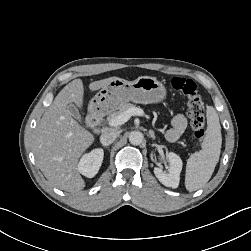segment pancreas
Segmentation results:
<instances>
[{
  "mask_svg": "<svg viewBox=\"0 0 251 251\" xmlns=\"http://www.w3.org/2000/svg\"><path fill=\"white\" fill-rule=\"evenodd\" d=\"M134 107H136V106L131 103H125V104L121 105L116 111L111 112L109 114V116L107 117V119L110 121L111 119L115 118L116 116L123 113L124 111H126L130 108H134Z\"/></svg>",
  "mask_w": 251,
  "mask_h": 251,
  "instance_id": "obj_1",
  "label": "pancreas"
}]
</instances>
